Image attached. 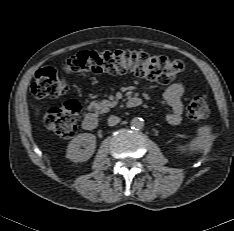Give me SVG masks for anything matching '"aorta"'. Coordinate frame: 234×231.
Listing matches in <instances>:
<instances>
[{
    "label": "aorta",
    "instance_id": "1",
    "mask_svg": "<svg viewBox=\"0 0 234 231\" xmlns=\"http://www.w3.org/2000/svg\"><path fill=\"white\" fill-rule=\"evenodd\" d=\"M130 125L133 129L136 130L142 129L144 127V120L140 117H134L131 120Z\"/></svg>",
    "mask_w": 234,
    "mask_h": 231
}]
</instances>
